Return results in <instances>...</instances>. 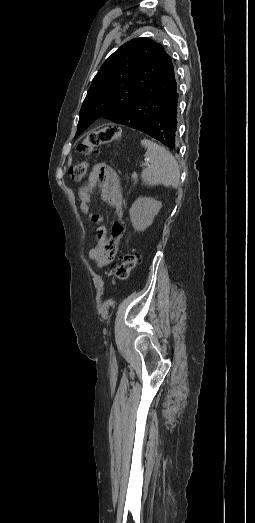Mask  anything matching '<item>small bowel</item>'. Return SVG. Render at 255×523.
<instances>
[{"mask_svg":"<svg viewBox=\"0 0 255 523\" xmlns=\"http://www.w3.org/2000/svg\"><path fill=\"white\" fill-rule=\"evenodd\" d=\"M101 187L103 198L111 205L117 215L113 222L111 235L105 226L101 225L102 216L91 212L92 191L97 186ZM80 210L88 215L94 228V246L90 249L88 256L97 267L103 268L116 258L121 238L125 232L123 215V199L121 187L116 172L106 163H99L89 173L87 183L79 189Z\"/></svg>","mask_w":255,"mask_h":523,"instance_id":"c3829d8e","label":"small bowel"}]
</instances>
